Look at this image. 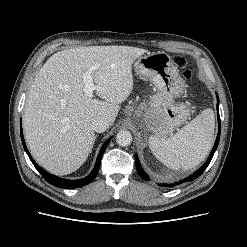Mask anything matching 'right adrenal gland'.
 Returning a JSON list of instances; mask_svg holds the SVG:
<instances>
[{
    "label": "right adrenal gland",
    "mask_w": 247,
    "mask_h": 247,
    "mask_svg": "<svg viewBox=\"0 0 247 247\" xmlns=\"http://www.w3.org/2000/svg\"><path fill=\"white\" fill-rule=\"evenodd\" d=\"M96 138H97V135L94 137V142H95ZM94 142H93V143H94Z\"/></svg>",
    "instance_id": "right-adrenal-gland-1"
}]
</instances>
